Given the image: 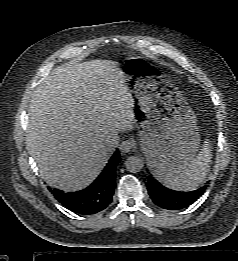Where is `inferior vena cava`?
<instances>
[{
  "label": "inferior vena cava",
  "mask_w": 238,
  "mask_h": 261,
  "mask_svg": "<svg viewBox=\"0 0 238 261\" xmlns=\"http://www.w3.org/2000/svg\"><path fill=\"white\" fill-rule=\"evenodd\" d=\"M118 143H119V137L118 136L107 139L106 144H107L108 151L113 152L115 150V148L118 146Z\"/></svg>",
  "instance_id": "602c4592"
}]
</instances>
